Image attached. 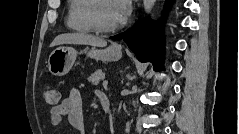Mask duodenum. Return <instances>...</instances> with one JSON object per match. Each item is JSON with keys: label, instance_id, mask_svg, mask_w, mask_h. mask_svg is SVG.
<instances>
[{"label": "duodenum", "instance_id": "410a0bca", "mask_svg": "<svg viewBox=\"0 0 239 134\" xmlns=\"http://www.w3.org/2000/svg\"><path fill=\"white\" fill-rule=\"evenodd\" d=\"M100 102L104 112L107 114L110 113L112 104L109 96H107L106 94H102L100 97Z\"/></svg>", "mask_w": 239, "mask_h": 134}]
</instances>
